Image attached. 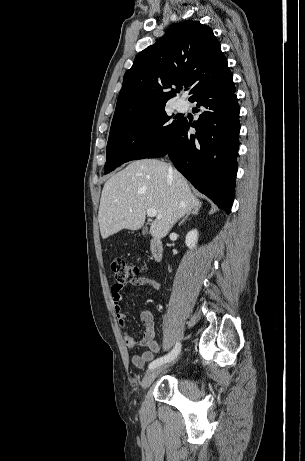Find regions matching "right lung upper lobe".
<instances>
[{
    "label": "right lung upper lobe",
    "instance_id": "1",
    "mask_svg": "<svg viewBox=\"0 0 305 461\" xmlns=\"http://www.w3.org/2000/svg\"><path fill=\"white\" fill-rule=\"evenodd\" d=\"M229 73L221 45L208 26L192 20L174 24L140 52L125 73L112 125L165 106L183 84L191 87L190 100Z\"/></svg>",
    "mask_w": 305,
    "mask_h": 461
}]
</instances>
